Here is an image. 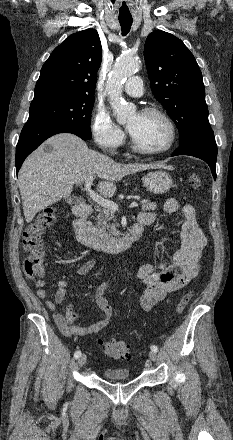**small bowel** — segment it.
Returning <instances> with one entry per match:
<instances>
[{"instance_id":"c3829d8e","label":"small bowel","mask_w":233,"mask_h":440,"mask_svg":"<svg viewBox=\"0 0 233 440\" xmlns=\"http://www.w3.org/2000/svg\"><path fill=\"white\" fill-rule=\"evenodd\" d=\"M164 211L170 215L178 214L183 221L181 246L165 261L145 263L140 266L137 278L145 285V291L139 300V305L143 310L151 309L168 293L180 290L189 284L199 272L200 262L207 246V238L199 226L195 208L191 204H181L176 197H171L165 202ZM138 219L150 220L153 223L156 215L153 212H141ZM95 264L96 260L91 258L78 267L77 273L85 275ZM56 284L54 299L46 300L45 305L54 313V321L62 334L65 336L91 335L110 324L116 311L104 296L110 287L109 283L101 284L95 290L96 305L103 312L104 317L89 325L78 323V316L72 304L67 305L65 314L56 311L57 305L65 300L68 283L65 280H58ZM35 285L37 296L45 299L47 297L46 281L39 279Z\"/></svg>"}]
</instances>
